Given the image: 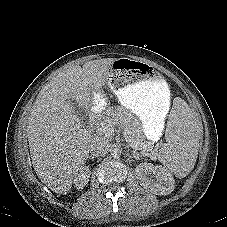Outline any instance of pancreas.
<instances>
[{"instance_id":"cf45deb5","label":"pancreas","mask_w":227,"mask_h":227,"mask_svg":"<svg viewBox=\"0 0 227 227\" xmlns=\"http://www.w3.org/2000/svg\"><path fill=\"white\" fill-rule=\"evenodd\" d=\"M118 124L124 125V133L127 141L134 147L146 151L152 147V144L146 142L141 135L139 122L123 109L113 110L108 109L98 124V128H107L108 134L105 137L109 138L115 132V127Z\"/></svg>"}]
</instances>
